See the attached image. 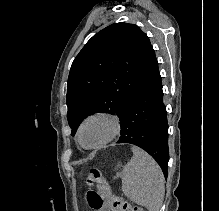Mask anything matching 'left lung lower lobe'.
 <instances>
[{"mask_svg": "<svg viewBox=\"0 0 219 211\" xmlns=\"http://www.w3.org/2000/svg\"><path fill=\"white\" fill-rule=\"evenodd\" d=\"M120 125L121 136L117 143H129L145 150L160 165L167 178L168 123L158 68L133 95Z\"/></svg>", "mask_w": 219, "mask_h": 211, "instance_id": "0a47b994", "label": "left lung lower lobe"}]
</instances>
